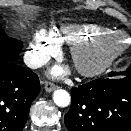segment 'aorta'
I'll use <instances>...</instances> for the list:
<instances>
[{"label":"aorta","instance_id":"obj_1","mask_svg":"<svg viewBox=\"0 0 131 131\" xmlns=\"http://www.w3.org/2000/svg\"><path fill=\"white\" fill-rule=\"evenodd\" d=\"M53 101L59 107H66L70 104V95L66 90L57 89L53 94Z\"/></svg>","mask_w":131,"mask_h":131}]
</instances>
